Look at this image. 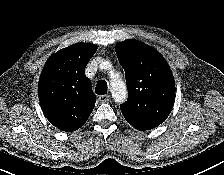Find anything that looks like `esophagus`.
<instances>
[{"mask_svg":"<svg viewBox=\"0 0 224 175\" xmlns=\"http://www.w3.org/2000/svg\"><path fill=\"white\" fill-rule=\"evenodd\" d=\"M109 95H106V94H103V95H100L99 96V101L101 102V103H106V102H108L109 101Z\"/></svg>","mask_w":224,"mask_h":175,"instance_id":"esophagus-1","label":"esophagus"}]
</instances>
